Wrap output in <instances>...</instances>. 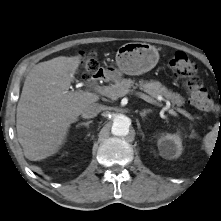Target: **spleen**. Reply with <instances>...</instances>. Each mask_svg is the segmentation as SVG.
<instances>
[{"instance_id":"1","label":"spleen","mask_w":221,"mask_h":221,"mask_svg":"<svg viewBox=\"0 0 221 221\" xmlns=\"http://www.w3.org/2000/svg\"><path fill=\"white\" fill-rule=\"evenodd\" d=\"M218 126L215 125L214 130L208 133L204 138V145L208 151H211L215 143Z\"/></svg>"}]
</instances>
